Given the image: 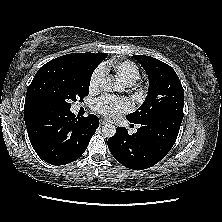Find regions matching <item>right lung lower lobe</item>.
I'll list each match as a JSON object with an SVG mask.
<instances>
[{
    "label": "right lung lower lobe",
    "instance_id": "98d812e1",
    "mask_svg": "<svg viewBox=\"0 0 222 222\" xmlns=\"http://www.w3.org/2000/svg\"><path fill=\"white\" fill-rule=\"evenodd\" d=\"M25 123L34 150L52 165L77 160L99 126L95 115L78 118L70 110L42 113Z\"/></svg>",
    "mask_w": 222,
    "mask_h": 222
}]
</instances>
